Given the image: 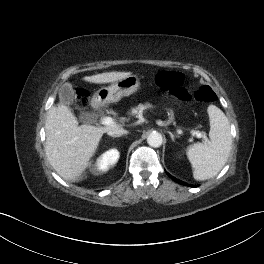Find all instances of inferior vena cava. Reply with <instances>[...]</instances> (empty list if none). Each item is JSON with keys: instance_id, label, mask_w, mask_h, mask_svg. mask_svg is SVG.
<instances>
[{"instance_id": "obj_1", "label": "inferior vena cava", "mask_w": 264, "mask_h": 264, "mask_svg": "<svg viewBox=\"0 0 264 264\" xmlns=\"http://www.w3.org/2000/svg\"><path fill=\"white\" fill-rule=\"evenodd\" d=\"M107 134L113 137L117 135L127 134V131L123 128H117V129L109 130Z\"/></svg>"}]
</instances>
